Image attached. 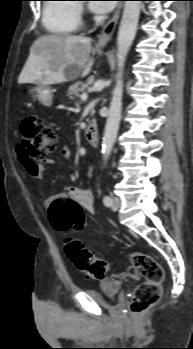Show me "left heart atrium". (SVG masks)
Here are the masks:
<instances>
[{
  "label": "left heart atrium",
  "instance_id": "obj_1",
  "mask_svg": "<svg viewBox=\"0 0 193 349\" xmlns=\"http://www.w3.org/2000/svg\"><path fill=\"white\" fill-rule=\"evenodd\" d=\"M114 7V2H100L94 1L91 4V9L96 13H107Z\"/></svg>",
  "mask_w": 193,
  "mask_h": 349
}]
</instances>
